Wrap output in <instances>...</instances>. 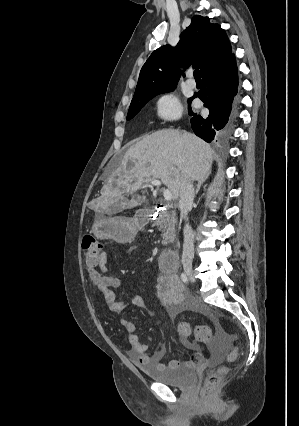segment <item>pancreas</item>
I'll list each match as a JSON object with an SVG mask.
<instances>
[{
  "label": "pancreas",
  "instance_id": "pancreas-1",
  "mask_svg": "<svg viewBox=\"0 0 299 426\" xmlns=\"http://www.w3.org/2000/svg\"><path fill=\"white\" fill-rule=\"evenodd\" d=\"M176 223V214L170 210L161 211L159 217L154 221V224L162 231L164 244H168L174 240Z\"/></svg>",
  "mask_w": 299,
  "mask_h": 426
}]
</instances>
